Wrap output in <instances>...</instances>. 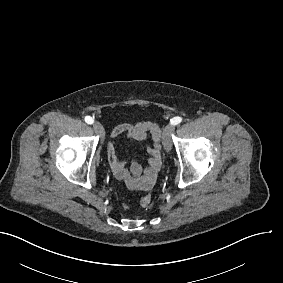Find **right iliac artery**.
I'll return each mask as SVG.
<instances>
[{"label":"right iliac artery","instance_id":"82829eb1","mask_svg":"<svg viewBox=\"0 0 283 283\" xmlns=\"http://www.w3.org/2000/svg\"><path fill=\"white\" fill-rule=\"evenodd\" d=\"M85 122L88 124H92L94 122V119L90 116H86L85 117Z\"/></svg>","mask_w":283,"mask_h":283}]
</instances>
